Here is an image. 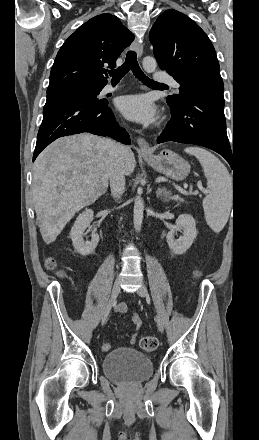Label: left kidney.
I'll list each match as a JSON object with an SVG mask.
<instances>
[{
	"label": "left kidney",
	"instance_id": "1",
	"mask_svg": "<svg viewBox=\"0 0 259 440\" xmlns=\"http://www.w3.org/2000/svg\"><path fill=\"white\" fill-rule=\"evenodd\" d=\"M176 226L178 230L183 231V235L176 240L175 232L170 231L166 239L170 250L176 255H181L190 248L197 235L195 219L189 214H181L176 220Z\"/></svg>",
	"mask_w": 259,
	"mask_h": 440
}]
</instances>
